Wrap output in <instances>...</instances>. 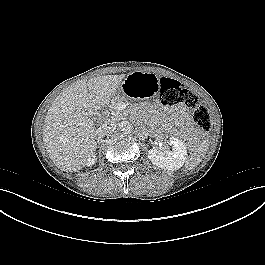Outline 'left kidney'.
Returning <instances> with one entry per match:
<instances>
[{"mask_svg": "<svg viewBox=\"0 0 265 265\" xmlns=\"http://www.w3.org/2000/svg\"><path fill=\"white\" fill-rule=\"evenodd\" d=\"M169 145L172 147V150L161 151L158 148L150 149L148 157L153 165L169 171H175L184 165L187 150L184 143L175 137L169 139Z\"/></svg>", "mask_w": 265, "mask_h": 265, "instance_id": "1", "label": "left kidney"}]
</instances>
